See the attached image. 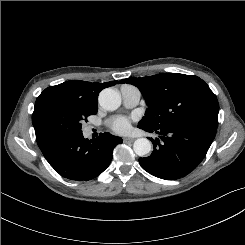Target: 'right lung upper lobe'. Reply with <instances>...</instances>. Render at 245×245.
Instances as JSON below:
<instances>
[{"mask_svg": "<svg viewBox=\"0 0 245 245\" xmlns=\"http://www.w3.org/2000/svg\"><path fill=\"white\" fill-rule=\"evenodd\" d=\"M116 83L117 81H110L106 83H91L81 80H70L48 88L59 89L67 93L69 96L86 104L97 106L99 92L104 88L115 85ZM37 143L40 149H43L44 145L46 144L39 141H37Z\"/></svg>", "mask_w": 245, "mask_h": 245, "instance_id": "1", "label": "right lung upper lobe"}]
</instances>
